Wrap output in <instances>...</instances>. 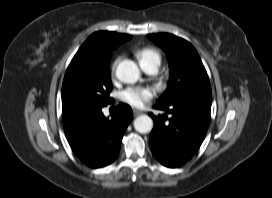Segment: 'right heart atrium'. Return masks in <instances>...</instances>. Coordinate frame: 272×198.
Instances as JSON below:
<instances>
[{"label":"right heart atrium","mask_w":272,"mask_h":198,"mask_svg":"<svg viewBox=\"0 0 272 198\" xmlns=\"http://www.w3.org/2000/svg\"><path fill=\"white\" fill-rule=\"evenodd\" d=\"M118 62H119V57H117L116 59H114V61L111 63L110 70H111L112 74L115 73V69H116V66H117Z\"/></svg>","instance_id":"obj_1"}]
</instances>
